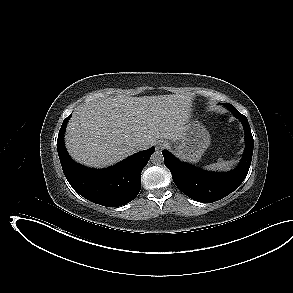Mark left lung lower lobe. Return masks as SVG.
I'll return each instance as SVG.
<instances>
[{
    "label": "left lung lower lobe",
    "mask_w": 293,
    "mask_h": 293,
    "mask_svg": "<svg viewBox=\"0 0 293 293\" xmlns=\"http://www.w3.org/2000/svg\"><path fill=\"white\" fill-rule=\"evenodd\" d=\"M243 124L245 149L239 165L229 172H209L181 162L163 150L165 166L171 171L176 186L193 200L212 203L236 190L245 179L253 154V137L247 118L235 116Z\"/></svg>",
    "instance_id": "left-lung-lower-lobe-1"
}]
</instances>
